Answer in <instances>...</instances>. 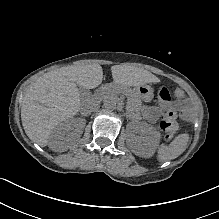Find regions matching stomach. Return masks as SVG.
Here are the masks:
<instances>
[{
  "mask_svg": "<svg viewBox=\"0 0 219 219\" xmlns=\"http://www.w3.org/2000/svg\"><path fill=\"white\" fill-rule=\"evenodd\" d=\"M134 91L137 93L140 99L146 100L151 95L152 88L148 85H141L136 87Z\"/></svg>",
  "mask_w": 219,
  "mask_h": 219,
  "instance_id": "stomach-1",
  "label": "stomach"
}]
</instances>
